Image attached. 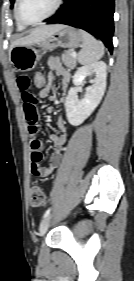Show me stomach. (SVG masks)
Returning <instances> with one entry per match:
<instances>
[{
  "instance_id": "0dacf381",
  "label": "stomach",
  "mask_w": 134,
  "mask_h": 281,
  "mask_svg": "<svg viewBox=\"0 0 134 281\" xmlns=\"http://www.w3.org/2000/svg\"><path fill=\"white\" fill-rule=\"evenodd\" d=\"M81 42L82 35L79 30L63 25L40 42L14 47L10 52V60L17 71H31L41 59L42 51H52L57 47L76 48Z\"/></svg>"
}]
</instances>
